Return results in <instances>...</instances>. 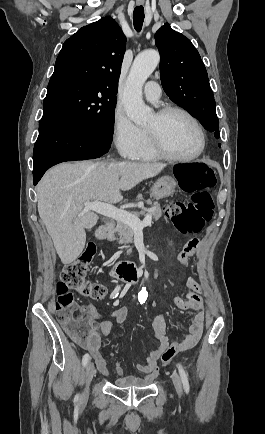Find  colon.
<instances>
[{
    "label": "colon",
    "instance_id": "obj_1",
    "mask_svg": "<svg viewBox=\"0 0 265 434\" xmlns=\"http://www.w3.org/2000/svg\"><path fill=\"white\" fill-rule=\"evenodd\" d=\"M191 164H176L175 172L178 181H183L182 186L187 193H192L191 201L173 200L167 204L166 217L173 226L183 235L191 236L199 233L205 222L212 218V199L209 189L216 185L214 169L207 164H200L197 158ZM96 253L94 246H89L73 263L63 267L60 279L57 284V291L61 301L57 302L56 307L60 317V327H65L64 332L69 335V340L73 341L74 346L85 344L81 341L80 325L83 324L77 314H70L67 310L73 302V297L68 290H74L83 297L92 300H101L107 294L105 286L101 283L93 282L87 278L89 264ZM70 314V315H69ZM69 316V317H68ZM68 317V318H67ZM180 342H172L164 348L161 357L163 365L173 362L181 354L179 352ZM171 355L173 357H171Z\"/></svg>",
    "mask_w": 265,
    "mask_h": 434
}]
</instances>
